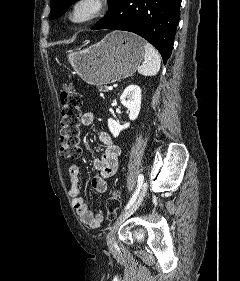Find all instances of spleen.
<instances>
[{
  "label": "spleen",
  "instance_id": "spleen-1",
  "mask_svg": "<svg viewBox=\"0 0 240 281\" xmlns=\"http://www.w3.org/2000/svg\"><path fill=\"white\" fill-rule=\"evenodd\" d=\"M144 48V62L138 67V72L144 76H154L160 70V55L158 51L148 42L145 43Z\"/></svg>",
  "mask_w": 240,
  "mask_h": 281
}]
</instances>
